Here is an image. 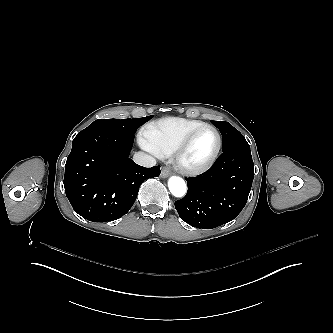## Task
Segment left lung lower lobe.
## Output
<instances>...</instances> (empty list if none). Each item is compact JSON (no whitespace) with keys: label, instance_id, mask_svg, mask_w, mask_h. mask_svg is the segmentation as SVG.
Segmentation results:
<instances>
[{"label":"left lung lower lobe","instance_id":"left-lung-lower-lobe-1","mask_svg":"<svg viewBox=\"0 0 333 333\" xmlns=\"http://www.w3.org/2000/svg\"><path fill=\"white\" fill-rule=\"evenodd\" d=\"M253 178L249 144H235L224 150L208 171L186 178L187 194L175 202V208L183 221L196 228L226 224L244 208Z\"/></svg>","mask_w":333,"mask_h":333}]
</instances>
